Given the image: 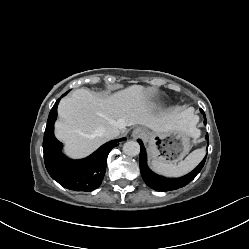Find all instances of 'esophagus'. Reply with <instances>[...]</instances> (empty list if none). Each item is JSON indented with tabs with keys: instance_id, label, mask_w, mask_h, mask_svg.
Here are the masks:
<instances>
[{
	"instance_id": "esophagus-1",
	"label": "esophagus",
	"mask_w": 249,
	"mask_h": 249,
	"mask_svg": "<svg viewBox=\"0 0 249 249\" xmlns=\"http://www.w3.org/2000/svg\"><path fill=\"white\" fill-rule=\"evenodd\" d=\"M145 134V130L142 127H136L132 131V137L137 139V138H142Z\"/></svg>"
}]
</instances>
